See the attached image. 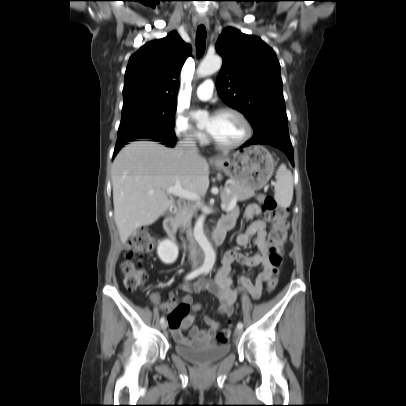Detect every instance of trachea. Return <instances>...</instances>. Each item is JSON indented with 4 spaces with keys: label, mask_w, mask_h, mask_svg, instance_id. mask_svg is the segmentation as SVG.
<instances>
[{
    "label": "trachea",
    "mask_w": 406,
    "mask_h": 406,
    "mask_svg": "<svg viewBox=\"0 0 406 406\" xmlns=\"http://www.w3.org/2000/svg\"><path fill=\"white\" fill-rule=\"evenodd\" d=\"M206 46V29L204 25H200L197 28V34H196V48L198 53L201 55Z\"/></svg>",
    "instance_id": "obj_1"
}]
</instances>
